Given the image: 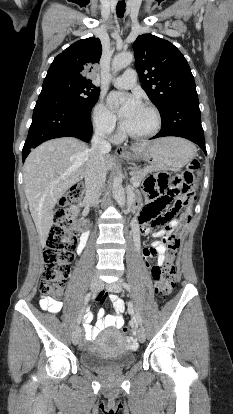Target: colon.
Segmentation results:
<instances>
[{
	"mask_svg": "<svg viewBox=\"0 0 233 414\" xmlns=\"http://www.w3.org/2000/svg\"><path fill=\"white\" fill-rule=\"evenodd\" d=\"M200 169V163L194 159L189 162L187 170L182 174L159 172L150 175L144 182V191L153 201L148 206L149 214L160 221L162 211L169 217L177 215L179 229L164 241L166 260L162 268L154 269L156 276L155 293L160 302H164L172 293L177 282L174 258L180 244L182 228L192 216V208L196 201L194 174ZM84 187L74 185L67 196L61 199L55 211L54 222L49 231L44 249V273L40 283V291L52 299L61 298L70 266L74 259L76 238L71 227L76 216L74 203L82 198ZM123 332L128 335L130 327L124 326Z\"/></svg>",
	"mask_w": 233,
	"mask_h": 414,
	"instance_id": "5ec220e1",
	"label": "colon"
}]
</instances>
